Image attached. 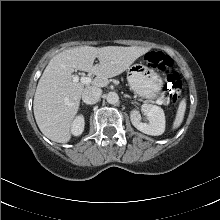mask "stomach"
I'll return each instance as SVG.
<instances>
[{
  "mask_svg": "<svg viewBox=\"0 0 220 220\" xmlns=\"http://www.w3.org/2000/svg\"><path fill=\"white\" fill-rule=\"evenodd\" d=\"M127 80L131 90L142 98L153 100L164 94L162 77L143 64L128 68Z\"/></svg>",
  "mask_w": 220,
  "mask_h": 220,
  "instance_id": "0dacf381",
  "label": "stomach"
}]
</instances>
